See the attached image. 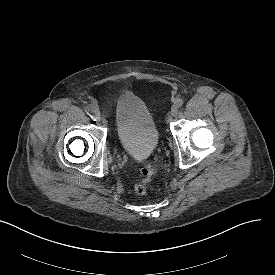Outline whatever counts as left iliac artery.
Listing matches in <instances>:
<instances>
[{
    "instance_id": "1",
    "label": "left iliac artery",
    "mask_w": 275,
    "mask_h": 275,
    "mask_svg": "<svg viewBox=\"0 0 275 275\" xmlns=\"http://www.w3.org/2000/svg\"><path fill=\"white\" fill-rule=\"evenodd\" d=\"M175 104L177 105V107H181L183 105V100L181 98H177Z\"/></svg>"
}]
</instances>
